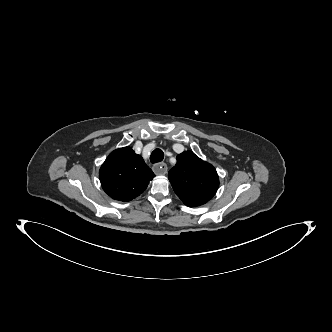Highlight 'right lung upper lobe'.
Returning a JSON list of instances; mask_svg holds the SVG:
<instances>
[{
    "label": "right lung upper lobe",
    "mask_w": 332,
    "mask_h": 332,
    "mask_svg": "<svg viewBox=\"0 0 332 332\" xmlns=\"http://www.w3.org/2000/svg\"><path fill=\"white\" fill-rule=\"evenodd\" d=\"M154 173L130 147L114 150L100 168L102 188L112 199L128 202L147 188Z\"/></svg>",
    "instance_id": "1"
}]
</instances>
